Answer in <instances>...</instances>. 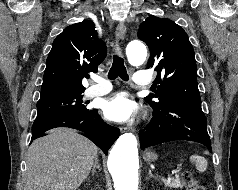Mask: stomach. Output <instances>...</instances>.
Masks as SVG:
<instances>
[{
  "label": "stomach",
  "instance_id": "1",
  "mask_svg": "<svg viewBox=\"0 0 238 190\" xmlns=\"http://www.w3.org/2000/svg\"><path fill=\"white\" fill-rule=\"evenodd\" d=\"M144 159L147 162H152V161L157 160V155L155 153H153V152H147L144 155Z\"/></svg>",
  "mask_w": 238,
  "mask_h": 190
}]
</instances>
